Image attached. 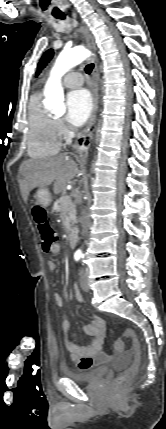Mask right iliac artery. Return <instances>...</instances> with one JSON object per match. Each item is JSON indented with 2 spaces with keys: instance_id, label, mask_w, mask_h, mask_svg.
I'll list each match as a JSON object with an SVG mask.
<instances>
[{
  "instance_id": "right-iliac-artery-1",
  "label": "right iliac artery",
  "mask_w": 166,
  "mask_h": 429,
  "mask_svg": "<svg viewBox=\"0 0 166 429\" xmlns=\"http://www.w3.org/2000/svg\"><path fill=\"white\" fill-rule=\"evenodd\" d=\"M80 258H81V255H80V254H75V255H74V259H75V261H79V260H80Z\"/></svg>"
}]
</instances>
